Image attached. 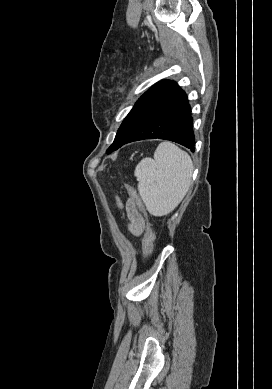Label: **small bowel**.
Listing matches in <instances>:
<instances>
[{
	"label": "small bowel",
	"instance_id": "1",
	"mask_svg": "<svg viewBox=\"0 0 272 389\" xmlns=\"http://www.w3.org/2000/svg\"><path fill=\"white\" fill-rule=\"evenodd\" d=\"M126 214L128 217V228L134 236H139L143 233L145 228V221L140 213L137 204L129 199L125 205Z\"/></svg>",
	"mask_w": 272,
	"mask_h": 389
}]
</instances>
